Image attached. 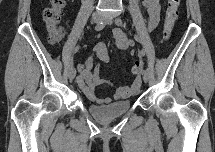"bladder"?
I'll use <instances>...</instances> for the list:
<instances>
[{"instance_id": "1", "label": "bladder", "mask_w": 215, "mask_h": 152, "mask_svg": "<svg viewBox=\"0 0 215 152\" xmlns=\"http://www.w3.org/2000/svg\"><path fill=\"white\" fill-rule=\"evenodd\" d=\"M132 106L130 100L113 102L107 105H95L88 106V111L94 117L101 120H108L127 113Z\"/></svg>"}]
</instances>
